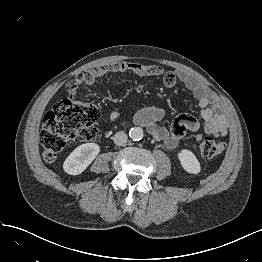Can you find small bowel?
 Returning <instances> with one entry per match:
<instances>
[{"instance_id":"c3829d8e","label":"small bowel","mask_w":262,"mask_h":262,"mask_svg":"<svg viewBox=\"0 0 262 262\" xmlns=\"http://www.w3.org/2000/svg\"><path fill=\"white\" fill-rule=\"evenodd\" d=\"M132 71L138 76L164 75V84L172 88L180 81L197 99L200 107L201 121H196L188 114L177 116L170 130L157 124L163 118V109L158 106L142 108L135 115L137 124L146 127L147 131L158 141H161L169 149L175 148L186 132H197L202 130L205 134L213 136H225L228 134V124L223 115L224 106L218 97L195 76L182 70L168 71L164 73L158 65H132L125 61L115 62L99 66L88 72L92 80L87 85H92L97 78L107 76L111 73H123ZM113 124L119 122V116L115 112L109 114Z\"/></svg>"}]
</instances>
